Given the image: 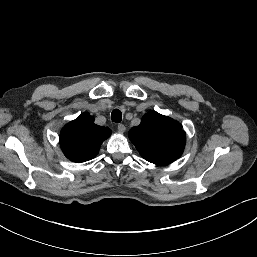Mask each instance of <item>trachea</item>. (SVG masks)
I'll list each match as a JSON object with an SVG mask.
<instances>
[{
    "mask_svg": "<svg viewBox=\"0 0 257 257\" xmlns=\"http://www.w3.org/2000/svg\"><path fill=\"white\" fill-rule=\"evenodd\" d=\"M111 119L113 122L120 123L122 120V113L120 110L115 109L111 113Z\"/></svg>",
    "mask_w": 257,
    "mask_h": 257,
    "instance_id": "trachea-1",
    "label": "trachea"
}]
</instances>
